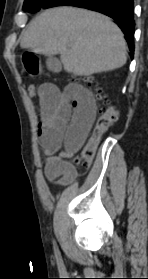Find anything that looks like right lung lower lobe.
I'll use <instances>...</instances> for the list:
<instances>
[{
	"instance_id": "right-lung-lower-lobe-1",
	"label": "right lung lower lobe",
	"mask_w": 148,
	"mask_h": 279,
	"mask_svg": "<svg viewBox=\"0 0 148 279\" xmlns=\"http://www.w3.org/2000/svg\"><path fill=\"white\" fill-rule=\"evenodd\" d=\"M76 6L101 12L116 21L125 34L131 56L134 54V15L133 0H49L43 8L54 6Z\"/></svg>"
}]
</instances>
